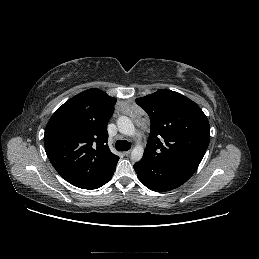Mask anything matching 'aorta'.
I'll return each instance as SVG.
<instances>
[{
	"label": "aorta",
	"mask_w": 259,
	"mask_h": 259,
	"mask_svg": "<svg viewBox=\"0 0 259 259\" xmlns=\"http://www.w3.org/2000/svg\"><path fill=\"white\" fill-rule=\"evenodd\" d=\"M117 126L119 132L124 135L134 136L136 133V129L134 127L132 120L127 116H120L117 120ZM143 153V146L137 144L131 152V159L135 162L140 161L142 159Z\"/></svg>",
	"instance_id": "obj_1"
}]
</instances>
